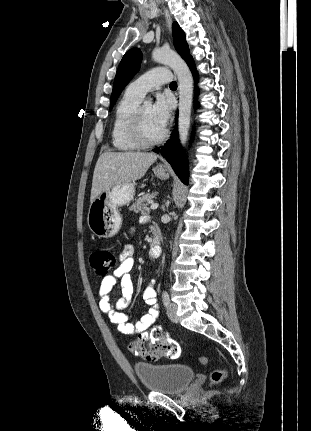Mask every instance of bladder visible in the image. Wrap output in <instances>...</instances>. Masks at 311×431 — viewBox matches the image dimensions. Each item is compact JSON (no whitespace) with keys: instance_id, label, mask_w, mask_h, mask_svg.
Returning <instances> with one entry per match:
<instances>
[{"instance_id":"obj_1","label":"bladder","mask_w":311,"mask_h":431,"mask_svg":"<svg viewBox=\"0 0 311 431\" xmlns=\"http://www.w3.org/2000/svg\"><path fill=\"white\" fill-rule=\"evenodd\" d=\"M134 372L148 391L176 394L184 391L194 378V371L183 364L136 363Z\"/></svg>"}]
</instances>
